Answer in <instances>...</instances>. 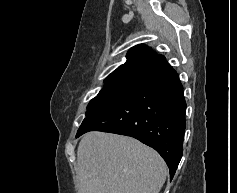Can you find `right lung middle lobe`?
I'll list each match as a JSON object with an SVG mask.
<instances>
[{
    "label": "right lung middle lobe",
    "mask_w": 237,
    "mask_h": 193,
    "mask_svg": "<svg viewBox=\"0 0 237 193\" xmlns=\"http://www.w3.org/2000/svg\"><path fill=\"white\" fill-rule=\"evenodd\" d=\"M144 70L108 77L104 87L87 107L86 118L107 111L125 100L141 83Z\"/></svg>",
    "instance_id": "right-lung-middle-lobe-1"
}]
</instances>
